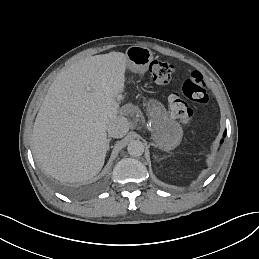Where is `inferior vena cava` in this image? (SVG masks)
I'll list each match as a JSON object with an SVG mask.
<instances>
[{
    "mask_svg": "<svg viewBox=\"0 0 259 259\" xmlns=\"http://www.w3.org/2000/svg\"><path fill=\"white\" fill-rule=\"evenodd\" d=\"M129 130V122L123 116H117L107 126L108 135L112 138H122Z\"/></svg>",
    "mask_w": 259,
    "mask_h": 259,
    "instance_id": "inferior-vena-cava-1",
    "label": "inferior vena cava"
}]
</instances>
